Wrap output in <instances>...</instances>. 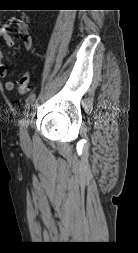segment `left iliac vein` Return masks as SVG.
I'll return each instance as SVG.
<instances>
[{
	"label": "left iliac vein",
	"instance_id": "1",
	"mask_svg": "<svg viewBox=\"0 0 138 253\" xmlns=\"http://www.w3.org/2000/svg\"><path fill=\"white\" fill-rule=\"evenodd\" d=\"M28 125H29V120L26 119L23 121L20 128V138L23 143L29 141Z\"/></svg>",
	"mask_w": 138,
	"mask_h": 253
}]
</instances>
